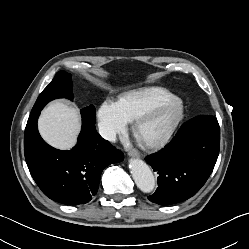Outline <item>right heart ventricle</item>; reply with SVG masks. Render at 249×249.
<instances>
[{"mask_svg":"<svg viewBox=\"0 0 249 249\" xmlns=\"http://www.w3.org/2000/svg\"><path fill=\"white\" fill-rule=\"evenodd\" d=\"M172 97H175V95L165 88L145 87L122 95L118 100V105L123 115L130 122L134 121L149 107Z\"/></svg>","mask_w":249,"mask_h":249,"instance_id":"right-heart-ventricle-1","label":"right heart ventricle"}]
</instances>
